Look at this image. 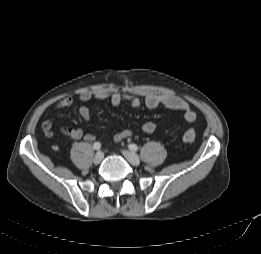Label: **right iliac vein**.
Masks as SVG:
<instances>
[{"label":"right iliac vein","instance_id":"1","mask_svg":"<svg viewBox=\"0 0 261 254\" xmlns=\"http://www.w3.org/2000/svg\"><path fill=\"white\" fill-rule=\"evenodd\" d=\"M104 154L103 152L99 151L95 154L94 158H93V163L94 164H100L101 161L103 160Z\"/></svg>","mask_w":261,"mask_h":254}]
</instances>
